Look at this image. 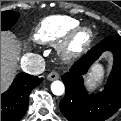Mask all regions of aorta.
Returning a JSON list of instances; mask_svg holds the SVG:
<instances>
[{
	"label": "aorta",
	"mask_w": 121,
	"mask_h": 121,
	"mask_svg": "<svg viewBox=\"0 0 121 121\" xmlns=\"http://www.w3.org/2000/svg\"><path fill=\"white\" fill-rule=\"evenodd\" d=\"M51 91L54 95L60 96L65 92V86L61 81H54L51 84Z\"/></svg>",
	"instance_id": "762f6f07"
}]
</instances>
